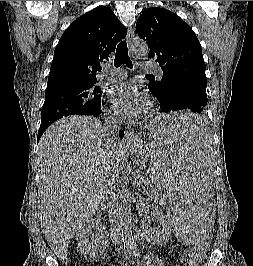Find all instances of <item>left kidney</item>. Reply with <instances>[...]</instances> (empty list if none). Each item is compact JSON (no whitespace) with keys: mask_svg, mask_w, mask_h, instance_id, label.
Returning <instances> with one entry per match:
<instances>
[{"mask_svg":"<svg viewBox=\"0 0 253 266\" xmlns=\"http://www.w3.org/2000/svg\"><path fill=\"white\" fill-rule=\"evenodd\" d=\"M161 224H162V229L160 231L150 229L148 231V234L151 238V240H154V243H159V242H166L170 238L171 234V229H170V224L165 216H161Z\"/></svg>","mask_w":253,"mask_h":266,"instance_id":"1","label":"left kidney"}]
</instances>
